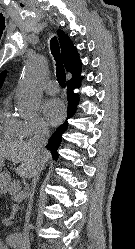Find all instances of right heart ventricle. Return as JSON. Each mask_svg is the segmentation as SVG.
<instances>
[{"label": "right heart ventricle", "instance_id": "e07e8e85", "mask_svg": "<svg viewBox=\"0 0 135 249\" xmlns=\"http://www.w3.org/2000/svg\"><path fill=\"white\" fill-rule=\"evenodd\" d=\"M20 121L12 114L9 101H5L0 109V137L10 140L22 137Z\"/></svg>", "mask_w": 135, "mask_h": 249}]
</instances>
